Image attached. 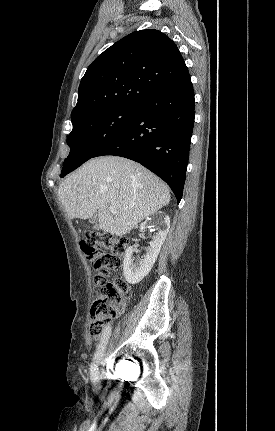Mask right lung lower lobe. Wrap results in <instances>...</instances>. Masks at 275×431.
Listing matches in <instances>:
<instances>
[{"label":"right lung lower lobe","mask_w":275,"mask_h":431,"mask_svg":"<svg viewBox=\"0 0 275 431\" xmlns=\"http://www.w3.org/2000/svg\"><path fill=\"white\" fill-rule=\"evenodd\" d=\"M137 108L132 122L93 157L115 155L142 164L162 178L180 202L195 117L189 73Z\"/></svg>","instance_id":"98d812e1"}]
</instances>
